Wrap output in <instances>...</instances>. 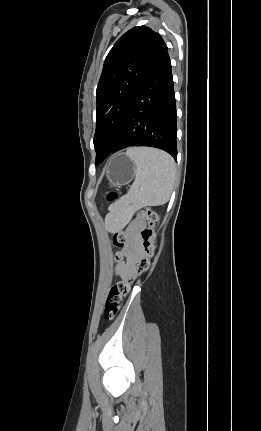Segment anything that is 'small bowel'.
I'll return each mask as SVG.
<instances>
[{"instance_id":"c3829d8e","label":"small bowel","mask_w":261,"mask_h":431,"mask_svg":"<svg viewBox=\"0 0 261 431\" xmlns=\"http://www.w3.org/2000/svg\"><path fill=\"white\" fill-rule=\"evenodd\" d=\"M144 226V218L142 216H137L127 229L129 242L124 250L126 262L119 264L116 268V274L121 278L128 277L135 270V262L141 254L142 237L140 231Z\"/></svg>"}]
</instances>
